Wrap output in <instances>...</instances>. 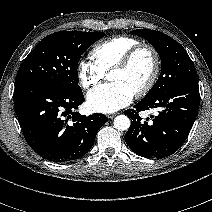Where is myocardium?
<instances>
[{"instance_id":"1","label":"myocardium","mask_w":212,"mask_h":212,"mask_svg":"<svg viewBox=\"0 0 212 212\" xmlns=\"http://www.w3.org/2000/svg\"><path fill=\"white\" fill-rule=\"evenodd\" d=\"M142 52H148L151 55L153 61V68L151 75L146 81V83L135 92V95L137 97L146 95L153 88L159 77L161 69V60L158 52L154 47L148 44H138L134 46L122 57L119 62L113 65L108 72L109 74L111 71H124L128 69L134 62L135 58Z\"/></svg>"}]
</instances>
